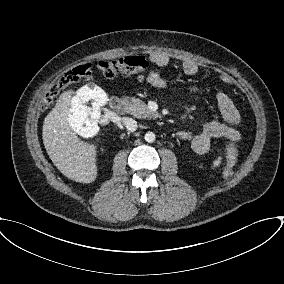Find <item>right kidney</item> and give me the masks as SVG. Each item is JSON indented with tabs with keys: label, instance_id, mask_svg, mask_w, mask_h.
Here are the masks:
<instances>
[{
	"label": "right kidney",
	"instance_id": "1",
	"mask_svg": "<svg viewBox=\"0 0 284 284\" xmlns=\"http://www.w3.org/2000/svg\"><path fill=\"white\" fill-rule=\"evenodd\" d=\"M93 100L97 106H104L108 100L106 93L96 85L81 87L72 100L69 124L73 131L84 138L95 136L99 131L98 118L92 108L86 105Z\"/></svg>",
	"mask_w": 284,
	"mask_h": 284
}]
</instances>
